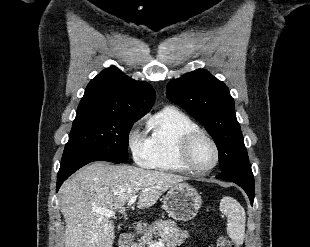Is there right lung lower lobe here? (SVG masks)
I'll return each mask as SVG.
<instances>
[{"mask_svg":"<svg viewBox=\"0 0 310 247\" xmlns=\"http://www.w3.org/2000/svg\"><path fill=\"white\" fill-rule=\"evenodd\" d=\"M93 161H110L113 163L118 164V162L111 161L109 159H103V158H80L71 160L65 163H61V167L58 172L57 176V185H56V191L59 190L62 183L75 171H77L79 168L83 167L84 165L93 162Z\"/></svg>","mask_w":310,"mask_h":247,"instance_id":"obj_1","label":"right lung lower lobe"}]
</instances>
